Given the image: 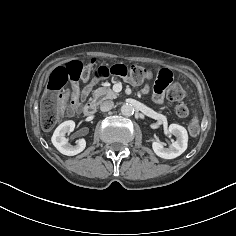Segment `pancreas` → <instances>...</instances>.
I'll list each match as a JSON object with an SVG mask.
<instances>
[{
    "label": "pancreas",
    "mask_w": 236,
    "mask_h": 236,
    "mask_svg": "<svg viewBox=\"0 0 236 236\" xmlns=\"http://www.w3.org/2000/svg\"><path fill=\"white\" fill-rule=\"evenodd\" d=\"M119 96L118 93H115L109 87H99L93 91L92 102L95 105H99L102 101L106 99H115Z\"/></svg>",
    "instance_id": "cf45deb5"
}]
</instances>
